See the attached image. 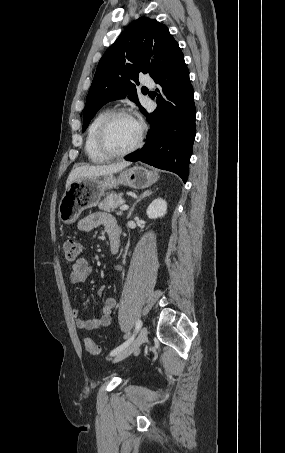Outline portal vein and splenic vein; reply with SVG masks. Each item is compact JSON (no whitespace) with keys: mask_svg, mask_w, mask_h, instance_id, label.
Returning <instances> with one entry per match:
<instances>
[{"mask_svg":"<svg viewBox=\"0 0 285 453\" xmlns=\"http://www.w3.org/2000/svg\"><path fill=\"white\" fill-rule=\"evenodd\" d=\"M128 208H129V206L126 205V204H122V205L120 206V210H127Z\"/></svg>","mask_w":285,"mask_h":453,"instance_id":"portal-vein-and-splenic-vein-1","label":"portal vein and splenic vein"}]
</instances>
